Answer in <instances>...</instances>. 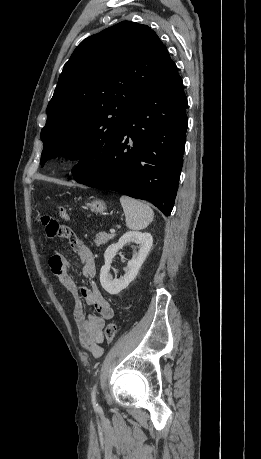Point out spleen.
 Returning <instances> with one entry per match:
<instances>
[{"mask_svg":"<svg viewBox=\"0 0 261 459\" xmlns=\"http://www.w3.org/2000/svg\"><path fill=\"white\" fill-rule=\"evenodd\" d=\"M120 203L130 230H142L152 222L154 212L148 204L124 195L120 197Z\"/></svg>","mask_w":261,"mask_h":459,"instance_id":"spleen-1","label":"spleen"}]
</instances>
